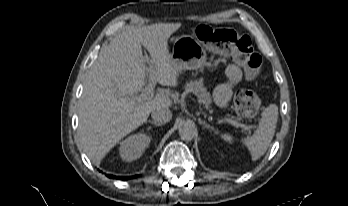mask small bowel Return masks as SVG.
<instances>
[{
	"instance_id": "obj_1",
	"label": "small bowel",
	"mask_w": 348,
	"mask_h": 206,
	"mask_svg": "<svg viewBox=\"0 0 348 206\" xmlns=\"http://www.w3.org/2000/svg\"><path fill=\"white\" fill-rule=\"evenodd\" d=\"M242 80V72L235 64H229L225 69V81L219 84L214 92L216 104L226 107L231 99L233 88Z\"/></svg>"
}]
</instances>
